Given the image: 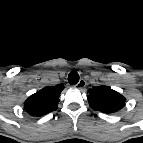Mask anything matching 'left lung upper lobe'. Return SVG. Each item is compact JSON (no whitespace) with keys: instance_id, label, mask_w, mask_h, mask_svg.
<instances>
[{"instance_id":"1","label":"left lung upper lobe","mask_w":143,"mask_h":143,"mask_svg":"<svg viewBox=\"0 0 143 143\" xmlns=\"http://www.w3.org/2000/svg\"><path fill=\"white\" fill-rule=\"evenodd\" d=\"M88 93V102L93 110L111 114L125 106V97L111 87L104 85L93 87Z\"/></svg>"}]
</instances>
